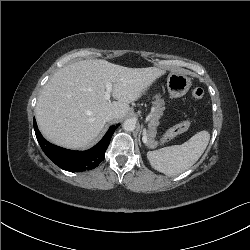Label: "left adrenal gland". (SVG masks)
I'll return each mask as SVG.
<instances>
[{
	"label": "left adrenal gland",
	"mask_w": 250,
	"mask_h": 250,
	"mask_svg": "<svg viewBox=\"0 0 250 250\" xmlns=\"http://www.w3.org/2000/svg\"><path fill=\"white\" fill-rule=\"evenodd\" d=\"M146 133V131H145V129H143V134H145ZM139 141H140V135H139Z\"/></svg>",
	"instance_id": "obj_1"
}]
</instances>
